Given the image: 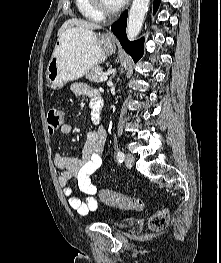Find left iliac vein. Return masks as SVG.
<instances>
[{
  "label": "left iliac vein",
  "instance_id": "obj_1",
  "mask_svg": "<svg viewBox=\"0 0 221 263\" xmlns=\"http://www.w3.org/2000/svg\"><path fill=\"white\" fill-rule=\"evenodd\" d=\"M134 162H135V158L132 154L130 153H127L126 154V157H125V164L128 166V167H131L134 165Z\"/></svg>",
  "mask_w": 221,
  "mask_h": 263
}]
</instances>
